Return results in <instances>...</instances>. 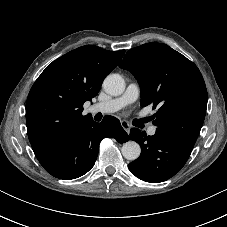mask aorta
Instances as JSON below:
<instances>
[{"instance_id": "aorta-1", "label": "aorta", "mask_w": 227, "mask_h": 227, "mask_svg": "<svg viewBox=\"0 0 227 227\" xmlns=\"http://www.w3.org/2000/svg\"><path fill=\"white\" fill-rule=\"evenodd\" d=\"M103 87L108 94L117 96L124 92L125 81L119 74H110L105 78ZM121 151L124 158L134 161L140 156L141 148L138 143L128 141L123 144Z\"/></svg>"}]
</instances>
